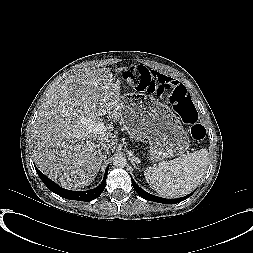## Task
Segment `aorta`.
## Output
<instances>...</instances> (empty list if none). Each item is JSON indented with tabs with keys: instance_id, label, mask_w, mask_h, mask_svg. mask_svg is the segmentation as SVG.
<instances>
[{
	"instance_id": "1",
	"label": "aorta",
	"mask_w": 253,
	"mask_h": 253,
	"mask_svg": "<svg viewBox=\"0 0 253 253\" xmlns=\"http://www.w3.org/2000/svg\"><path fill=\"white\" fill-rule=\"evenodd\" d=\"M127 164L126 158L123 156H116L113 159V165L117 168H123Z\"/></svg>"
}]
</instances>
